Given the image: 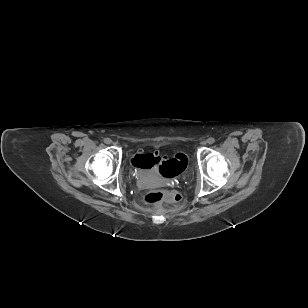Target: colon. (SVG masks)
I'll list each match as a JSON object with an SVG mask.
<instances>
[{
	"instance_id": "obj_1",
	"label": "colon",
	"mask_w": 308,
	"mask_h": 308,
	"mask_svg": "<svg viewBox=\"0 0 308 308\" xmlns=\"http://www.w3.org/2000/svg\"><path fill=\"white\" fill-rule=\"evenodd\" d=\"M132 163L136 167L143 169L158 167L162 176L170 178L183 171L187 165V157L182 153H178L174 159L162 160L155 154H138L133 158ZM181 198L180 193L175 190H154L148 192L144 200L148 204H159L163 201L179 203Z\"/></svg>"
}]
</instances>
